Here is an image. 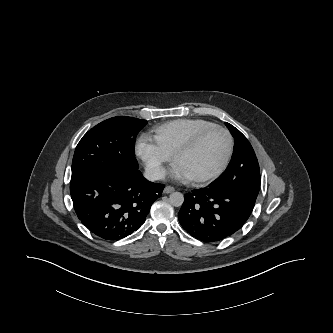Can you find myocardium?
I'll return each instance as SVG.
<instances>
[{"mask_svg":"<svg viewBox=\"0 0 333 333\" xmlns=\"http://www.w3.org/2000/svg\"><path fill=\"white\" fill-rule=\"evenodd\" d=\"M215 130H219L221 131L227 138V143H228V148H227V153L225 156L224 161L222 162V164L220 165V167L214 171L213 173L203 176V177H189L188 180L194 184H199V185H204V184H209L211 182H213L214 180H216L218 177H220L225 170L227 169V167L230 164V161L232 159L233 156V152H234V140L233 137L231 135V133L229 132L228 129H226L225 127L221 126V125H213L210 126L208 128L203 129L202 131H200L199 133H197L192 139H190L187 143H185L184 145H182L174 154H173V162L176 164L178 159L183 156L184 154L194 150L199 143L211 132L215 131Z\"/></svg>","mask_w":333,"mask_h":333,"instance_id":"obj_1","label":"myocardium"}]
</instances>
